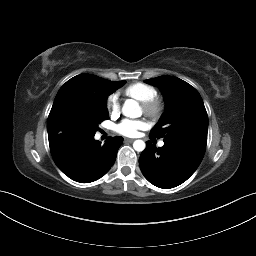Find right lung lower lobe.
I'll list each match as a JSON object with an SVG mask.
<instances>
[{"label": "right lung lower lobe", "mask_w": 256, "mask_h": 256, "mask_svg": "<svg viewBox=\"0 0 256 256\" xmlns=\"http://www.w3.org/2000/svg\"><path fill=\"white\" fill-rule=\"evenodd\" d=\"M94 135L72 133L48 135L55 164L74 181L80 183L96 181L109 171L116 160L123 138L109 137L101 146V142L94 140Z\"/></svg>", "instance_id": "right-lung-lower-lobe-1"}]
</instances>
